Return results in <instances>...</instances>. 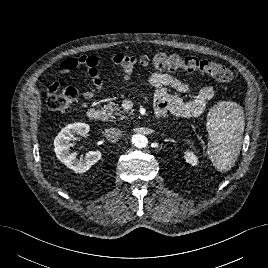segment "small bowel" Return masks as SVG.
<instances>
[{"label":"small bowel","instance_id":"obj_1","mask_svg":"<svg viewBox=\"0 0 268 268\" xmlns=\"http://www.w3.org/2000/svg\"><path fill=\"white\" fill-rule=\"evenodd\" d=\"M123 57L122 54L115 55L113 63L122 80L130 82L133 78L134 69L133 66L129 68L119 67L120 58ZM131 60L133 63L135 62L133 58ZM78 65H84L91 78L92 86L83 92V97L91 100L104 91V83L100 74V60L95 55L68 58L61 62L60 72L63 74L69 73ZM149 83L155 90L154 104L156 109L160 112H170L180 118H192L202 115L215 96L214 88L206 85L198 90L194 98L184 101L177 93H188L190 87L174 75L163 71L153 72L149 77ZM57 87L58 83L54 82L49 86L48 91L53 92Z\"/></svg>","mask_w":268,"mask_h":268}]
</instances>
